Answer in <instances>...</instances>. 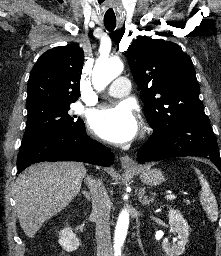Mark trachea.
I'll use <instances>...</instances> for the list:
<instances>
[{
    "mask_svg": "<svg viewBox=\"0 0 221 256\" xmlns=\"http://www.w3.org/2000/svg\"><path fill=\"white\" fill-rule=\"evenodd\" d=\"M104 25L108 31H112L116 27V22H104Z\"/></svg>",
    "mask_w": 221,
    "mask_h": 256,
    "instance_id": "trachea-1",
    "label": "trachea"
}]
</instances>
